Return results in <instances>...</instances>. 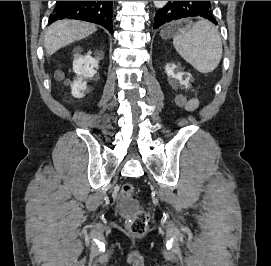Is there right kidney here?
I'll return each mask as SVG.
<instances>
[{
  "label": "right kidney",
  "instance_id": "obj_1",
  "mask_svg": "<svg viewBox=\"0 0 271 266\" xmlns=\"http://www.w3.org/2000/svg\"><path fill=\"white\" fill-rule=\"evenodd\" d=\"M98 69V60L90 55H77L73 61V71L78 78L71 84V93L76 98H82L85 95L87 81L84 79L92 78Z\"/></svg>",
  "mask_w": 271,
  "mask_h": 266
}]
</instances>
